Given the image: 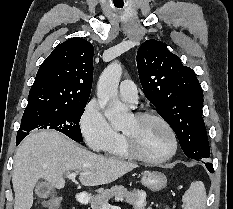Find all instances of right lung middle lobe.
<instances>
[{
	"label": "right lung middle lobe",
	"mask_w": 233,
	"mask_h": 209,
	"mask_svg": "<svg viewBox=\"0 0 233 209\" xmlns=\"http://www.w3.org/2000/svg\"><path fill=\"white\" fill-rule=\"evenodd\" d=\"M87 102L73 105H31L27 106L21 121L17 138H25L33 129H55L76 142H82L79 126Z\"/></svg>",
	"instance_id": "dd1d6c3e"
}]
</instances>
